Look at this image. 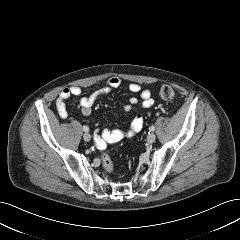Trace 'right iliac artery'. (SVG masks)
<instances>
[{
	"mask_svg": "<svg viewBox=\"0 0 240 240\" xmlns=\"http://www.w3.org/2000/svg\"><path fill=\"white\" fill-rule=\"evenodd\" d=\"M83 130H84L85 132H88V131H89V127H88V126H83Z\"/></svg>",
	"mask_w": 240,
	"mask_h": 240,
	"instance_id": "right-iliac-artery-1",
	"label": "right iliac artery"
}]
</instances>
